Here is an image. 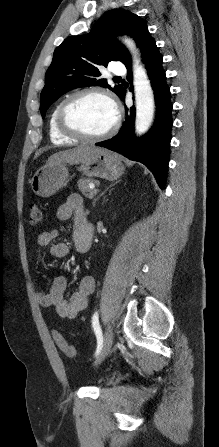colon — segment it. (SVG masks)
I'll list each match as a JSON object with an SVG mask.
<instances>
[{
	"instance_id": "5ec220e1",
	"label": "colon",
	"mask_w": 219,
	"mask_h": 447,
	"mask_svg": "<svg viewBox=\"0 0 219 447\" xmlns=\"http://www.w3.org/2000/svg\"><path fill=\"white\" fill-rule=\"evenodd\" d=\"M41 220H42V211L40 206L38 204H32L30 206V216H29L30 224L33 226L38 225L41 222ZM53 336L56 345L64 354H66L69 357L76 356L75 348L66 341V339L60 332L55 331Z\"/></svg>"
}]
</instances>
